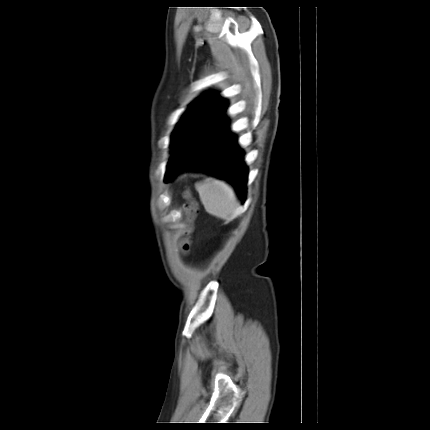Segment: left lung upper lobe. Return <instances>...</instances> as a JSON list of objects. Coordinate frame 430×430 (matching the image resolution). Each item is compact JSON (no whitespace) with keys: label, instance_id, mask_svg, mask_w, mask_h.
Wrapping results in <instances>:
<instances>
[{"label":"left lung upper lobe","instance_id":"obj_1","mask_svg":"<svg viewBox=\"0 0 430 430\" xmlns=\"http://www.w3.org/2000/svg\"><path fill=\"white\" fill-rule=\"evenodd\" d=\"M226 106L227 102L224 99L211 92L195 100L172 135L171 147L174 151L188 141L198 124L207 117H218L226 120L223 116Z\"/></svg>","mask_w":430,"mask_h":430}]
</instances>
